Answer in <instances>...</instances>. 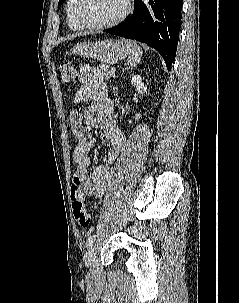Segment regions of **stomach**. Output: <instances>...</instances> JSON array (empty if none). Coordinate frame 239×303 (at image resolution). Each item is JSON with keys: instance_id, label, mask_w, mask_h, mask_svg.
Returning <instances> with one entry per match:
<instances>
[{"instance_id": "obj_1", "label": "stomach", "mask_w": 239, "mask_h": 303, "mask_svg": "<svg viewBox=\"0 0 239 303\" xmlns=\"http://www.w3.org/2000/svg\"><path fill=\"white\" fill-rule=\"evenodd\" d=\"M73 52L77 55L109 64L118 62L128 54L127 48L122 42L112 39L82 42L74 46Z\"/></svg>"}]
</instances>
